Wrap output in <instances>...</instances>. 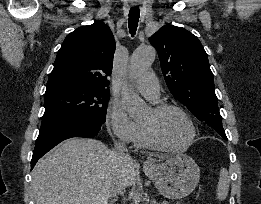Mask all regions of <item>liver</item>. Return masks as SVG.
Masks as SVG:
<instances>
[{"label": "liver", "mask_w": 261, "mask_h": 204, "mask_svg": "<svg viewBox=\"0 0 261 204\" xmlns=\"http://www.w3.org/2000/svg\"><path fill=\"white\" fill-rule=\"evenodd\" d=\"M137 170L131 157L119 167L114 151L98 140L71 138L37 162L33 194L36 204H108L113 181L131 186Z\"/></svg>", "instance_id": "1"}]
</instances>
